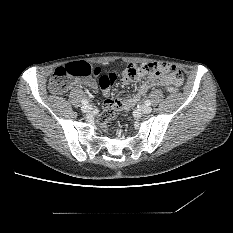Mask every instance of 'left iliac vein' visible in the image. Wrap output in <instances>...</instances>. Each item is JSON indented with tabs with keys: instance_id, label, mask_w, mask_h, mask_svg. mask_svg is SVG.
<instances>
[{
	"instance_id": "1",
	"label": "left iliac vein",
	"mask_w": 233,
	"mask_h": 233,
	"mask_svg": "<svg viewBox=\"0 0 233 233\" xmlns=\"http://www.w3.org/2000/svg\"><path fill=\"white\" fill-rule=\"evenodd\" d=\"M140 112H142L143 114H149L152 112V108L150 106H146V105H141L139 108Z\"/></svg>"
}]
</instances>
